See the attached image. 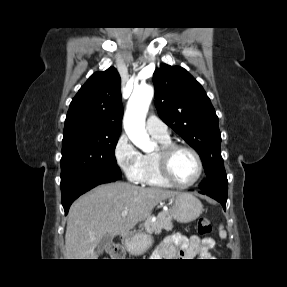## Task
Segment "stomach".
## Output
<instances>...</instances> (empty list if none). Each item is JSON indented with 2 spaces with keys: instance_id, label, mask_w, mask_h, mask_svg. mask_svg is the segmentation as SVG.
Returning <instances> with one entry per match:
<instances>
[{
  "instance_id": "stomach-1",
  "label": "stomach",
  "mask_w": 287,
  "mask_h": 287,
  "mask_svg": "<svg viewBox=\"0 0 287 287\" xmlns=\"http://www.w3.org/2000/svg\"><path fill=\"white\" fill-rule=\"evenodd\" d=\"M171 216L179 223H190L196 220L203 211L201 201L190 193H179L172 198ZM152 244V239L144 234L137 233L125 240L127 250L135 255L144 253Z\"/></svg>"
}]
</instances>
